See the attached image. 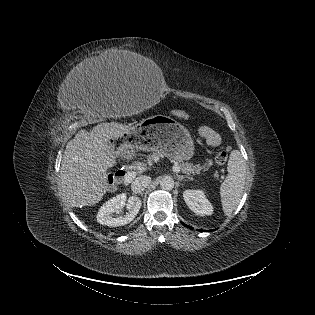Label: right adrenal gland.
<instances>
[{
  "label": "right adrenal gland",
  "mask_w": 315,
  "mask_h": 315,
  "mask_svg": "<svg viewBox=\"0 0 315 315\" xmlns=\"http://www.w3.org/2000/svg\"><path fill=\"white\" fill-rule=\"evenodd\" d=\"M133 195H134V196H136V195H137V193H133ZM139 195H141V196H142V195H143V193H140Z\"/></svg>",
  "instance_id": "1"
}]
</instances>
